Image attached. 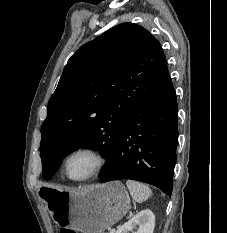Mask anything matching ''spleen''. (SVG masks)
<instances>
[{
	"mask_svg": "<svg viewBox=\"0 0 227 233\" xmlns=\"http://www.w3.org/2000/svg\"><path fill=\"white\" fill-rule=\"evenodd\" d=\"M126 185L133 200L137 203H142L148 200L152 195L151 189L143 183L134 180H127Z\"/></svg>",
	"mask_w": 227,
	"mask_h": 233,
	"instance_id": "spleen-1",
	"label": "spleen"
}]
</instances>
